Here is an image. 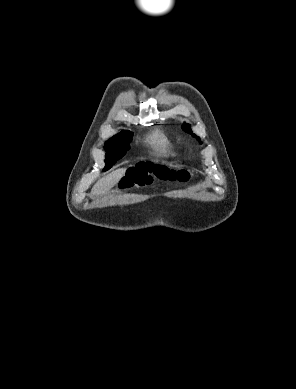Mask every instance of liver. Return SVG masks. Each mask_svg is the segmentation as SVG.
I'll return each instance as SVG.
<instances>
[{
  "label": "liver",
  "instance_id": "liver-1",
  "mask_svg": "<svg viewBox=\"0 0 296 389\" xmlns=\"http://www.w3.org/2000/svg\"><path fill=\"white\" fill-rule=\"evenodd\" d=\"M125 173L126 169L120 168L99 179L93 186L90 197L93 198L105 194L120 181Z\"/></svg>",
  "mask_w": 296,
  "mask_h": 389
}]
</instances>
